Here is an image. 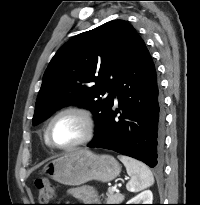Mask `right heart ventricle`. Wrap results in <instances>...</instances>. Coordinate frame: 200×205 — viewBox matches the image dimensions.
<instances>
[{
  "instance_id": "right-heart-ventricle-1",
  "label": "right heart ventricle",
  "mask_w": 200,
  "mask_h": 205,
  "mask_svg": "<svg viewBox=\"0 0 200 205\" xmlns=\"http://www.w3.org/2000/svg\"><path fill=\"white\" fill-rule=\"evenodd\" d=\"M46 144H48L47 140H46V136L44 137ZM49 145V144H48Z\"/></svg>"
}]
</instances>
